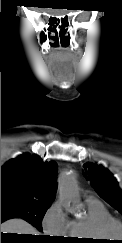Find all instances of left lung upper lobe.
<instances>
[{
	"instance_id": "obj_1",
	"label": "left lung upper lobe",
	"mask_w": 122,
	"mask_h": 243,
	"mask_svg": "<svg viewBox=\"0 0 122 243\" xmlns=\"http://www.w3.org/2000/svg\"><path fill=\"white\" fill-rule=\"evenodd\" d=\"M83 167L94 190L122 214V191L115 177L101 165L86 163Z\"/></svg>"
}]
</instances>
